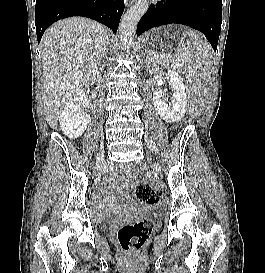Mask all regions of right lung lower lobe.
<instances>
[{"mask_svg": "<svg viewBox=\"0 0 265 273\" xmlns=\"http://www.w3.org/2000/svg\"><path fill=\"white\" fill-rule=\"evenodd\" d=\"M124 11V0H36L35 25L38 43L57 20L84 16L108 26L116 33Z\"/></svg>", "mask_w": 265, "mask_h": 273, "instance_id": "right-lung-lower-lobe-1", "label": "right lung lower lobe"}]
</instances>
